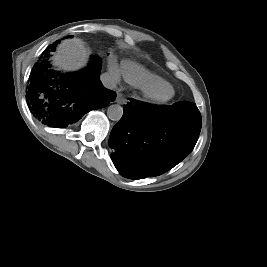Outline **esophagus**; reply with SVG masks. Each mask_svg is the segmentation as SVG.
I'll use <instances>...</instances> for the list:
<instances>
[{
    "label": "esophagus",
    "mask_w": 267,
    "mask_h": 267,
    "mask_svg": "<svg viewBox=\"0 0 267 267\" xmlns=\"http://www.w3.org/2000/svg\"><path fill=\"white\" fill-rule=\"evenodd\" d=\"M116 102L118 104L124 105L127 103V99L125 98V96L121 93H119L116 97Z\"/></svg>",
    "instance_id": "34e87169"
}]
</instances>
